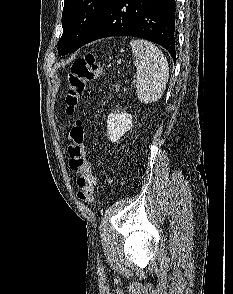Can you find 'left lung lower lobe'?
<instances>
[{
    "label": "left lung lower lobe",
    "instance_id": "left-lung-lower-lobe-1",
    "mask_svg": "<svg viewBox=\"0 0 233 294\" xmlns=\"http://www.w3.org/2000/svg\"><path fill=\"white\" fill-rule=\"evenodd\" d=\"M175 0H111L84 44L110 36H134L166 48L174 61Z\"/></svg>",
    "mask_w": 233,
    "mask_h": 294
}]
</instances>
